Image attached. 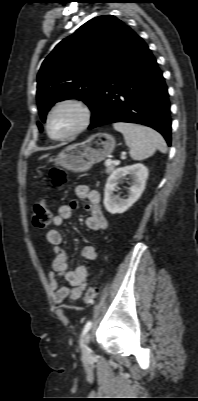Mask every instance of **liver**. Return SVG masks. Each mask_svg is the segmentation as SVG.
I'll use <instances>...</instances> for the list:
<instances>
[{"label": "liver", "instance_id": "liver-1", "mask_svg": "<svg viewBox=\"0 0 198 401\" xmlns=\"http://www.w3.org/2000/svg\"><path fill=\"white\" fill-rule=\"evenodd\" d=\"M47 156H48V154H45V155L41 156L40 159L47 157Z\"/></svg>", "mask_w": 198, "mask_h": 401}]
</instances>
